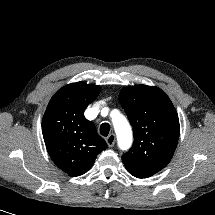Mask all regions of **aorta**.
Masks as SVG:
<instances>
[{
  "label": "aorta",
  "mask_w": 215,
  "mask_h": 215,
  "mask_svg": "<svg viewBox=\"0 0 215 215\" xmlns=\"http://www.w3.org/2000/svg\"><path fill=\"white\" fill-rule=\"evenodd\" d=\"M112 123L119 147L123 150L128 149L132 144V130L127 119L117 111V114L112 118Z\"/></svg>",
  "instance_id": "762f6f07"
}]
</instances>
